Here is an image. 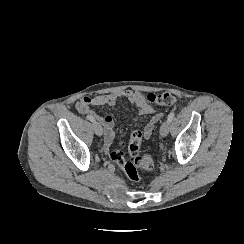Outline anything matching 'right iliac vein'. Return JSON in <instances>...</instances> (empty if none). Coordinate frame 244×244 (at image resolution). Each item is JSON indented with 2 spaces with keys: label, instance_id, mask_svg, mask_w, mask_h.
Returning <instances> with one entry per match:
<instances>
[{
  "label": "right iliac vein",
  "instance_id": "right-iliac-vein-1",
  "mask_svg": "<svg viewBox=\"0 0 244 244\" xmlns=\"http://www.w3.org/2000/svg\"><path fill=\"white\" fill-rule=\"evenodd\" d=\"M93 130L98 136H101L103 134L102 126L98 122L93 123Z\"/></svg>",
  "mask_w": 244,
  "mask_h": 244
}]
</instances>
